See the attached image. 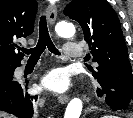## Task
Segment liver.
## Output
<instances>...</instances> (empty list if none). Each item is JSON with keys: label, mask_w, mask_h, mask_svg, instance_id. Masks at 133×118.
<instances>
[{"label": "liver", "mask_w": 133, "mask_h": 118, "mask_svg": "<svg viewBox=\"0 0 133 118\" xmlns=\"http://www.w3.org/2000/svg\"><path fill=\"white\" fill-rule=\"evenodd\" d=\"M0 118H13V116L6 114V113H3V112H0Z\"/></svg>", "instance_id": "liver-1"}]
</instances>
